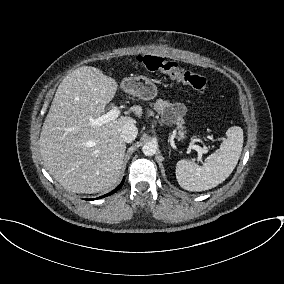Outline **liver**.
Returning a JSON list of instances; mask_svg holds the SVG:
<instances>
[{"mask_svg":"<svg viewBox=\"0 0 284 284\" xmlns=\"http://www.w3.org/2000/svg\"><path fill=\"white\" fill-rule=\"evenodd\" d=\"M116 91L115 80L91 66L75 69L57 88L39 146L48 172L69 191L108 192L119 182L126 150L121 130L136 121L120 116L101 126L91 124ZM130 111L140 117L142 107Z\"/></svg>","mask_w":284,"mask_h":284,"instance_id":"1","label":"liver"}]
</instances>
